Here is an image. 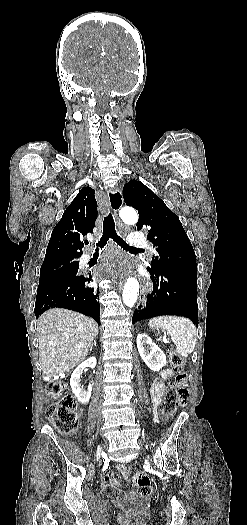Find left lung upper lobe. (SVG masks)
Masks as SVG:
<instances>
[{"mask_svg": "<svg viewBox=\"0 0 247 525\" xmlns=\"http://www.w3.org/2000/svg\"><path fill=\"white\" fill-rule=\"evenodd\" d=\"M123 197L138 211L137 229H148V239L156 249L147 270L197 278L195 252L178 216L140 181L125 184Z\"/></svg>", "mask_w": 247, "mask_h": 525, "instance_id": "5c2ea615", "label": "left lung upper lobe"}]
</instances>
